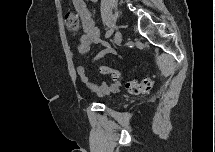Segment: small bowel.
Listing matches in <instances>:
<instances>
[{
  "mask_svg": "<svg viewBox=\"0 0 215 152\" xmlns=\"http://www.w3.org/2000/svg\"><path fill=\"white\" fill-rule=\"evenodd\" d=\"M73 6L76 11L77 16L79 17L82 28L83 34L79 38V42L77 45V51L80 55H86L92 45L98 44L101 42L100 39V31L98 27L95 25L94 20L91 17V14L86 6L84 0H73ZM107 46V44H104ZM107 53H113V50L108 49ZM102 54H98L94 57V60L100 59ZM77 74L80 80L84 83V85L96 93L97 95H109L116 93L119 90V83L114 84H107L103 83L101 85H96L92 83L89 78L87 77L86 70L84 67L79 66L77 67Z\"/></svg>",
  "mask_w": 215,
  "mask_h": 152,
  "instance_id": "1",
  "label": "small bowel"
}]
</instances>
